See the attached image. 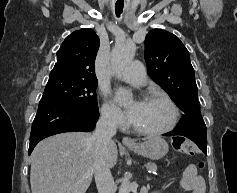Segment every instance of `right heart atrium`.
I'll return each instance as SVG.
<instances>
[{
    "label": "right heart atrium",
    "instance_id": "d8ad5b80",
    "mask_svg": "<svg viewBox=\"0 0 237 193\" xmlns=\"http://www.w3.org/2000/svg\"><path fill=\"white\" fill-rule=\"evenodd\" d=\"M101 117L106 124L112 127L120 128L125 124L122 112L107 99L102 104Z\"/></svg>",
    "mask_w": 237,
    "mask_h": 193
}]
</instances>
